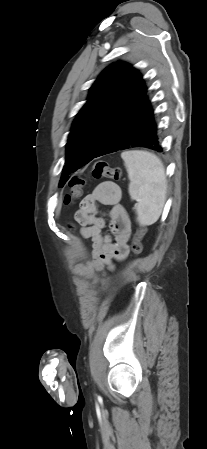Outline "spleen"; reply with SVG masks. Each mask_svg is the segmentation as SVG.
Masks as SVG:
<instances>
[{"label":"spleen","mask_w":207,"mask_h":449,"mask_svg":"<svg viewBox=\"0 0 207 449\" xmlns=\"http://www.w3.org/2000/svg\"><path fill=\"white\" fill-rule=\"evenodd\" d=\"M129 178V194L137 200V221L142 226L154 224L166 199L167 180L162 161L153 153L133 150L121 154Z\"/></svg>","instance_id":"1"}]
</instances>
